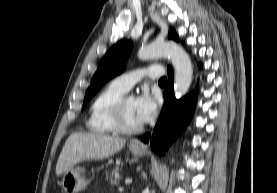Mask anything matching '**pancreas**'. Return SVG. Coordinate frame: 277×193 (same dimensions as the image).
<instances>
[{
    "label": "pancreas",
    "instance_id": "1",
    "mask_svg": "<svg viewBox=\"0 0 277 193\" xmlns=\"http://www.w3.org/2000/svg\"><path fill=\"white\" fill-rule=\"evenodd\" d=\"M120 172L121 170L116 167V168H113L112 170L110 171H107L105 173V178L108 180H110L111 184H118L119 183V180H120Z\"/></svg>",
    "mask_w": 277,
    "mask_h": 193
}]
</instances>
